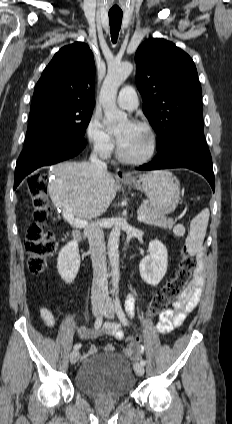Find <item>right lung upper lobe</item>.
<instances>
[{
    "label": "right lung upper lobe",
    "mask_w": 232,
    "mask_h": 424,
    "mask_svg": "<svg viewBox=\"0 0 232 424\" xmlns=\"http://www.w3.org/2000/svg\"><path fill=\"white\" fill-rule=\"evenodd\" d=\"M95 64L87 44L61 48L44 69L33 94L31 108L67 104L94 108Z\"/></svg>",
    "instance_id": "obj_1"
}]
</instances>
